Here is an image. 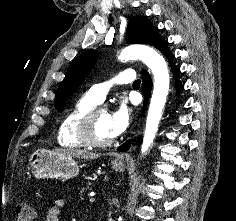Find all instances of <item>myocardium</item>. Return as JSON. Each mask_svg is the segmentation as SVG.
<instances>
[{
    "label": "myocardium",
    "instance_id": "1",
    "mask_svg": "<svg viewBox=\"0 0 236 221\" xmlns=\"http://www.w3.org/2000/svg\"><path fill=\"white\" fill-rule=\"evenodd\" d=\"M107 109L103 106H95L88 111L81 119L78 126V138L87 146L91 147H106L113 144L116 137L110 139H99L96 136L95 126L99 114Z\"/></svg>",
    "mask_w": 236,
    "mask_h": 221
}]
</instances>
